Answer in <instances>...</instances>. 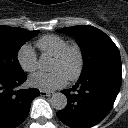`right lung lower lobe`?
Masks as SVG:
<instances>
[{
    "label": "right lung lower lobe",
    "mask_w": 128,
    "mask_h": 128,
    "mask_svg": "<svg viewBox=\"0 0 128 128\" xmlns=\"http://www.w3.org/2000/svg\"><path fill=\"white\" fill-rule=\"evenodd\" d=\"M27 79L25 72L14 76H0V128H15L27 117L31 101L39 96L38 89L17 90Z\"/></svg>",
    "instance_id": "1"
}]
</instances>
